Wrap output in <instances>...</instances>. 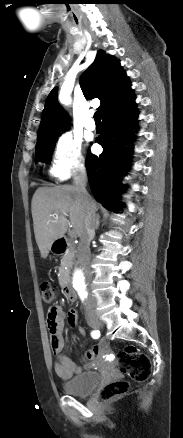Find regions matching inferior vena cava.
I'll return each mask as SVG.
<instances>
[{
  "instance_id": "1",
  "label": "inferior vena cava",
  "mask_w": 183,
  "mask_h": 438,
  "mask_svg": "<svg viewBox=\"0 0 183 438\" xmlns=\"http://www.w3.org/2000/svg\"><path fill=\"white\" fill-rule=\"evenodd\" d=\"M86 182H87V172L84 165H80L74 174V187L76 191L79 193L80 197L84 200L85 203L88 204L89 194L86 191ZM95 211L87 206L86 216L84 220V230L80 236V243L77 251V258L80 266L82 267L84 274L88 280L90 281L91 272H90V242L94 238L95 235ZM96 301L94 296L89 293L87 299L85 300V307L87 310L95 308Z\"/></svg>"
}]
</instances>
